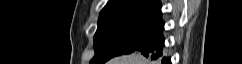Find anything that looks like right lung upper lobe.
I'll return each instance as SVG.
<instances>
[{
    "label": "right lung upper lobe",
    "mask_w": 242,
    "mask_h": 64,
    "mask_svg": "<svg viewBox=\"0 0 242 64\" xmlns=\"http://www.w3.org/2000/svg\"><path fill=\"white\" fill-rule=\"evenodd\" d=\"M130 12L161 13V2L160 0H109L102 9L99 19Z\"/></svg>",
    "instance_id": "obj_1"
}]
</instances>
